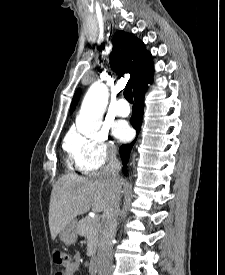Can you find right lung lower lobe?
<instances>
[{"instance_id":"1","label":"right lung lower lobe","mask_w":225,"mask_h":275,"mask_svg":"<svg viewBox=\"0 0 225 275\" xmlns=\"http://www.w3.org/2000/svg\"><path fill=\"white\" fill-rule=\"evenodd\" d=\"M152 81V76L146 80L143 87H141L135 94V105L133 106V114L130 119L132 126L136 129L137 132L141 129V123L143 118V106H144V94L147 89L146 85ZM135 143V140L130 144H124L120 147L119 152L122 159L123 173L126 175L127 162L129 158L130 151Z\"/></svg>"}]
</instances>
